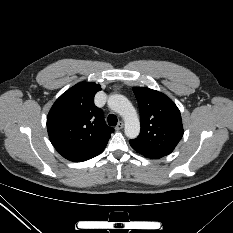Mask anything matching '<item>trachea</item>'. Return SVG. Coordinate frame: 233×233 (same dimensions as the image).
<instances>
[{
	"label": "trachea",
	"instance_id": "trachea-1",
	"mask_svg": "<svg viewBox=\"0 0 233 233\" xmlns=\"http://www.w3.org/2000/svg\"><path fill=\"white\" fill-rule=\"evenodd\" d=\"M107 120L110 126H115L118 122L117 117L114 114H110Z\"/></svg>",
	"mask_w": 233,
	"mask_h": 233
}]
</instances>
